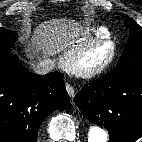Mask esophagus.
<instances>
[{"label": "esophagus", "mask_w": 142, "mask_h": 142, "mask_svg": "<svg viewBox=\"0 0 142 142\" xmlns=\"http://www.w3.org/2000/svg\"><path fill=\"white\" fill-rule=\"evenodd\" d=\"M66 90L71 98L75 96V89L68 83H66Z\"/></svg>", "instance_id": "1"}]
</instances>
